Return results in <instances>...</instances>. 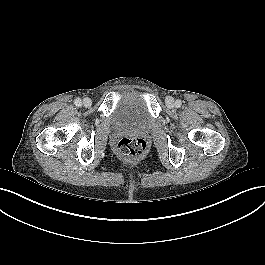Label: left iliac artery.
Segmentation results:
<instances>
[{
  "label": "left iliac artery",
  "instance_id": "obj_1",
  "mask_svg": "<svg viewBox=\"0 0 265 265\" xmlns=\"http://www.w3.org/2000/svg\"><path fill=\"white\" fill-rule=\"evenodd\" d=\"M181 105H182V102H181V100H177L176 102H175V106L176 107H181Z\"/></svg>",
  "mask_w": 265,
  "mask_h": 265
}]
</instances>
